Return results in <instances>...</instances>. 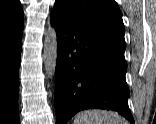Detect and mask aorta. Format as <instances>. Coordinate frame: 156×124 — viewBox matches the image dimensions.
Here are the masks:
<instances>
[{"label": "aorta", "instance_id": "762f6f07", "mask_svg": "<svg viewBox=\"0 0 156 124\" xmlns=\"http://www.w3.org/2000/svg\"><path fill=\"white\" fill-rule=\"evenodd\" d=\"M43 60L46 75L52 79L57 64V34L55 28L49 26L44 37Z\"/></svg>", "mask_w": 156, "mask_h": 124}]
</instances>
